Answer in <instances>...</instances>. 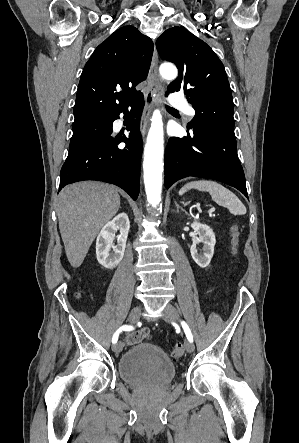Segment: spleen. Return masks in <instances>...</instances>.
<instances>
[{
	"label": "spleen",
	"mask_w": 299,
	"mask_h": 443,
	"mask_svg": "<svg viewBox=\"0 0 299 443\" xmlns=\"http://www.w3.org/2000/svg\"><path fill=\"white\" fill-rule=\"evenodd\" d=\"M190 189L209 192L212 199L220 206L228 208L233 215L246 214V208L239 198L221 184L210 180H198L185 184L179 191L183 195Z\"/></svg>",
	"instance_id": "1"
}]
</instances>
